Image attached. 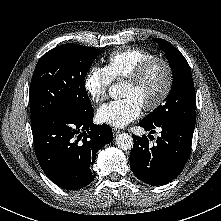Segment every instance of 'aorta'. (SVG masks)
I'll return each instance as SVG.
<instances>
[{
	"mask_svg": "<svg viewBox=\"0 0 221 221\" xmlns=\"http://www.w3.org/2000/svg\"><path fill=\"white\" fill-rule=\"evenodd\" d=\"M111 96L116 94L114 88L110 91ZM115 144L121 150H130L133 147V138L127 133H121L116 136Z\"/></svg>",
	"mask_w": 221,
	"mask_h": 221,
	"instance_id": "obj_1",
	"label": "aorta"
}]
</instances>
